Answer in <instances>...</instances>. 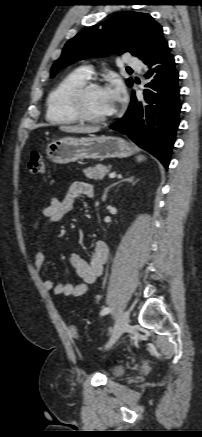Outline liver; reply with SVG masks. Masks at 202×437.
<instances>
[{
	"label": "liver",
	"instance_id": "liver-1",
	"mask_svg": "<svg viewBox=\"0 0 202 437\" xmlns=\"http://www.w3.org/2000/svg\"><path fill=\"white\" fill-rule=\"evenodd\" d=\"M59 129L67 133H94L99 131V128L90 126H60Z\"/></svg>",
	"mask_w": 202,
	"mask_h": 437
}]
</instances>
